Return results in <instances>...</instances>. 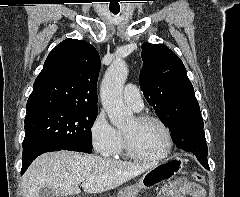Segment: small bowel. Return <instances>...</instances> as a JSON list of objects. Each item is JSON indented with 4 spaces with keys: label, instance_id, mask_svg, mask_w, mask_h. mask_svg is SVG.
<instances>
[{
    "label": "small bowel",
    "instance_id": "1",
    "mask_svg": "<svg viewBox=\"0 0 240 197\" xmlns=\"http://www.w3.org/2000/svg\"><path fill=\"white\" fill-rule=\"evenodd\" d=\"M204 189L197 184L180 181L170 185L163 194V197H204Z\"/></svg>",
    "mask_w": 240,
    "mask_h": 197
}]
</instances>
